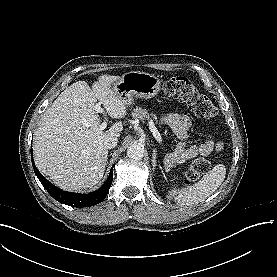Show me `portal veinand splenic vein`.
<instances>
[{"mask_svg": "<svg viewBox=\"0 0 277 277\" xmlns=\"http://www.w3.org/2000/svg\"><path fill=\"white\" fill-rule=\"evenodd\" d=\"M95 109L97 112H101V113L103 112V109L101 108L100 104H97ZM105 120H107V119L105 118ZM148 123H149V129L152 132L153 136L159 143H161L162 137H161L159 131L157 130V128L155 127L154 122L152 120H150ZM106 126H107V122L104 121L102 124L99 125V130H101V131L104 130L106 128Z\"/></svg>", "mask_w": 277, "mask_h": 277, "instance_id": "18ae733b", "label": "portal vein and splenic vein"}]
</instances>
